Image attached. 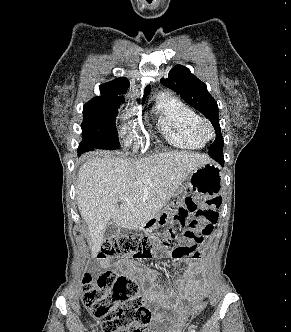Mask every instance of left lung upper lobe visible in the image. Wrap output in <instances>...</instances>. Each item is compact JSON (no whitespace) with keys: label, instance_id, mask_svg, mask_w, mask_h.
Segmentation results:
<instances>
[{"label":"left lung upper lobe","instance_id":"1","mask_svg":"<svg viewBox=\"0 0 291 332\" xmlns=\"http://www.w3.org/2000/svg\"><path fill=\"white\" fill-rule=\"evenodd\" d=\"M164 86L176 91L189 105L210 120L216 130V138L208 154L223 152V137L219 124L218 105L209 94L205 83L200 81L190 70L182 65L174 66L167 79H161Z\"/></svg>","mask_w":291,"mask_h":332}]
</instances>
